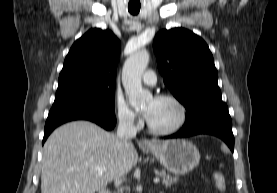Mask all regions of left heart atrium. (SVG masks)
I'll use <instances>...</instances> for the list:
<instances>
[{"instance_id":"39dd6f15","label":"left heart atrium","mask_w":277,"mask_h":193,"mask_svg":"<svg viewBox=\"0 0 277 193\" xmlns=\"http://www.w3.org/2000/svg\"><path fill=\"white\" fill-rule=\"evenodd\" d=\"M144 115H145V117L148 119V118H149V115H150V110H145V111H144Z\"/></svg>"}]
</instances>
